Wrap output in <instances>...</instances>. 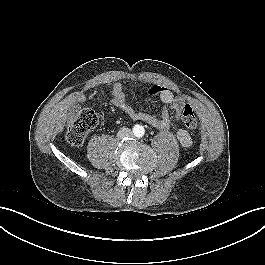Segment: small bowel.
Segmentation results:
<instances>
[{
    "label": "small bowel",
    "instance_id": "c3829d8e",
    "mask_svg": "<svg viewBox=\"0 0 265 265\" xmlns=\"http://www.w3.org/2000/svg\"><path fill=\"white\" fill-rule=\"evenodd\" d=\"M159 95L163 103L159 117L132 108L127 103L123 87L120 83H115L112 86L109 93V99L114 106L123 111L131 119L146 123L161 130H166L171 125V116H174L177 121L181 120L183 107L185 106V99L181 96L175 95L168 88H162ZM95 96L96 94L93 93L90 98H94ZM86 100L87 96L84 94H78L75 96V101L77 103H84ZM176 135L182 146L189 147L191 145V136L184 128L177 127Z\"/></svg>",
    "mask_w": 265,
    "mask_h": 265
}]
</instances>
